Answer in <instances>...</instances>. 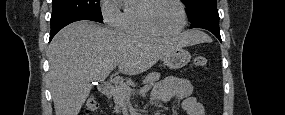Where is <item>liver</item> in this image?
Masks as SVG:
<instances>
[{"label": "liver", "mask_w": 285, "mask_h": 115, "mask_svg": "<svg viewBox=\"0 0 285 115\" xmlns=\"http://www.w3.org/2000/svg\"><path fill=\"white\" fill-rule=\"evenodd\" d=\"M201 42L196 30L152 39L115 32L86 20L66 26L47 51L56 115H78L92 82H103L117 65L123 74H140L171 50Z\"/></svg>", "instance_id": "6515ba94"}]
</instances>
